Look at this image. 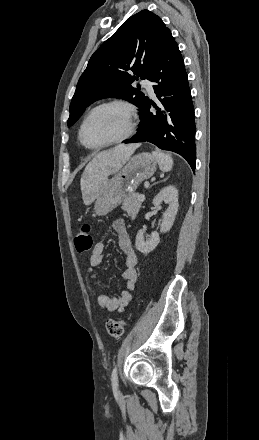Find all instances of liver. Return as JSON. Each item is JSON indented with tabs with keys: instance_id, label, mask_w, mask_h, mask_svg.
<instances>
[{
	"instance_id": "liver-1",
	"label": "liver",
	"mask_w": 259,
	"mask_h": 440,
	"mask_svg": "<svg viewBox=\"0 0 259 440\" xmlns=\"http://www.w3.org/2000/svg\"><path fill=\"white\" fill-rule=\"evenodd\" d=\"M139 146V144L118 145L94 157L86 166L80 180L85 205L91 204L98 198L108 183L109 175L118 172Z\"/></svg>"
}]
</instances>
